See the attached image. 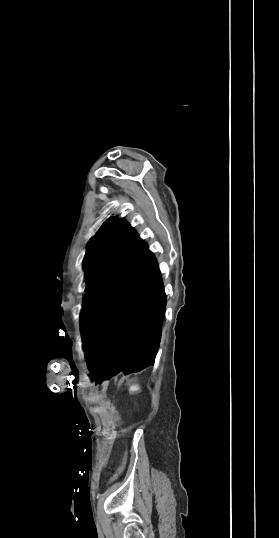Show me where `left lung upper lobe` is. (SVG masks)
<instances>
[{"label":"left lung upper lobe","instance_id":"1","mask_svg":"<svg viewBox=\"0 0 279 538\" xmlns=\"http://www.w3.org/2000/svg\"><path fill=\"white\" fill-rule=\"evenodd\" d=\"M143 241L124 219L110 218L92 238L86 251L87 276L84 308L128 261Z\"/></svg>","mask_w":279,"mask_h":538}]
</instances>
